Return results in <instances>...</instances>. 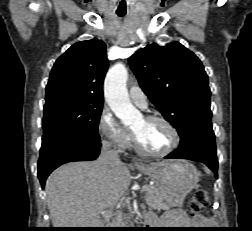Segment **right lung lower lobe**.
<instances>
[{"label":"right lung lower lobe","instance_id":"obj_1","mask_svg":"<svg viewBox=\"0 0 252 231\" xmlns=\"http://www.w3.org/2000/svg\"><path fill=\"white\" fill-rule=\"evenodd\" d=\"M100 141L63 136L42 144L38 161V178L44 188L46 178L58 166L71 161L95 160Z\"/></svg>","mask_w":252,"mask_h":231}]
</instances>
